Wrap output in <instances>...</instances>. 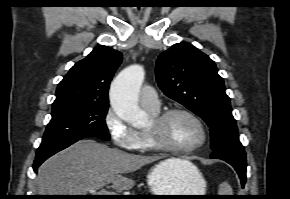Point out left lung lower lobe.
<instances>
[{
  "label": "left lung lower lobe",
  "mask_w": 290,
  "mask_h": 199,
  "mask_svg": "<svg viewBox=\"0 0 290 199\" xmlns=\"http://www.w3.org/2000/svg\"><path fill=\"white\" fill-rule=\"evenodd\" d=\"M213 159H221L228 162L237 171L242 187L246 181V154L243 148H229L215 151L210 156Z\"/></svg>",
  "instance_id": "1"
}]
</instances>
